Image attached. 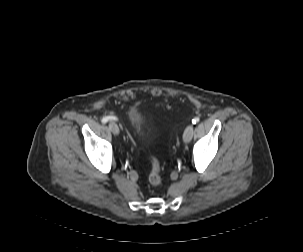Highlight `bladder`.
Here are the masks:
<instances>
[{"mask_svg": "<svg viewBox=\"0 0 303 252\" xmlns=\"http://www.w3.org/2000/svg\"><path fill=\"white\" fill-rule=\"evenodd\" d=\"M128 119L135 134L137 136H143L147 124L144 114L138 108H133L128 113ZM146 134V136L149 137V133Z\"/></svg>", "mask_w": 303, "mask_h": 252, "instance_id": "31cf9c89", "label": "bladder"}]
</instances>
